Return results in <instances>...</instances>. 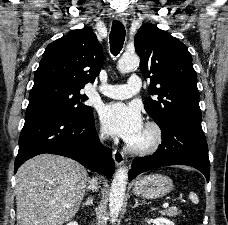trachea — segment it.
I'll list each match as a JSON object with an SVG mask.
<instances>
[{
  "mask_svg": "<svg viewBox=\"0 0 228 225\" xmlns=\"http://www.w3.org/2000/svg\"><path fill=\"white\" fill-rule=\"evenodd\" d=\"M126 30L124 28V25L114 20L112 29L109 35L110 40V47H111V53L113 55H118V53L122 50L124 40H125Z\"/></svg>",
  "mask_w": 228,
  "mask_h": 225,
  "instance_id": "1",
  "label": "trachea"
}]
</instances>
